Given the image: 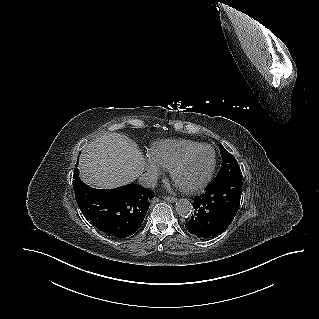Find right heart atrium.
Masks as SVG:
<instances>
[{"label": "right heart atrium", "mask_w": 319, "mask_h": 319, "mask_svg": "<svg viewBox=\"0 0 319 319\" xmlns=\"http://www.w3.org/2000/svg\"><path fill=\"white\" fill-rule=\"evenodd\" d=\"M146 170L151 179H157L162 175V168L157 165L152 159H148L146 161Z\"/></svg>", "instance_id": "1"}]
</instances>
